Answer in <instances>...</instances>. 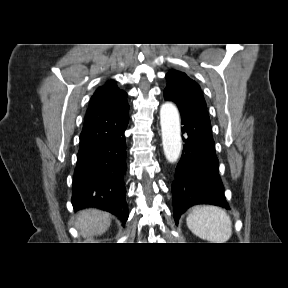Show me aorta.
Segmentation results:
<instances>
[{"label": "aorta", "instance_id": "1", "mask_svg": "<svg viewBox=\"0 0 288 288\" xmlns=\"http://www.w3.org/2000/svg\"><path fill=\"white\" fill-rule=\"evenodd\" d=\"M160 124L165 157L174 163L179 158L182 147L179 113L174 104L166 102L161 106Z\"/></svg>", "mask_w": 288, "mask_h": 288}]
</instances>
